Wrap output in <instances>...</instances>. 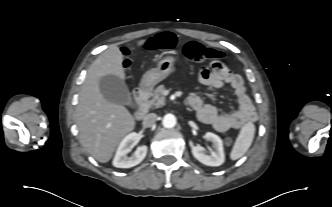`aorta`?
<instances>
[{
  "label": "aorta",
  "mask_w": 332,
  "mask_h": 207,
  "mask_svg": "<svg viewBox=\"0 0 332 207\" xmlns=\"http://www.w3.org/2000/svg\"><path fill=\"white\" fill-rule=\"evenodd\" d=\"M165 128H173L176 125V117L173 114H166L162 119Z\"/></svg>",
  "instance_id": "762f6f07"
}]
</instances>
